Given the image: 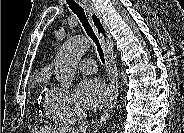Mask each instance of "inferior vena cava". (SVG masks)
Segmentation results:
<instances>
[{"label":"inferior vena cava","instance_id":"inferior-vena-cava-1","mask_svg":"<svg viewBox=\"0 0 184 133\" xmlns=\"http://www.w3.org/2000/svg\"><path fill=\"white\" fill-rule=\"evenodd\" d=\"M78 116L80 119V125L79 127L75 130L76 133H85L87 129V123H86V114L83 110L79 109L78 110Z\"/></svg>","mask_w":184,"mask_h":133}]
</instances>
